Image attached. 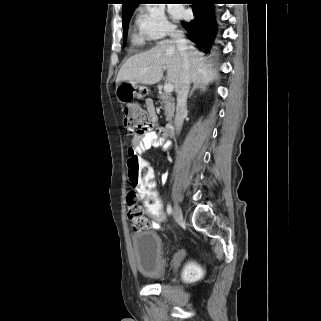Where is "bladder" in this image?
Listing matches in <instances>:
<instances>
[{
    "label": "bladder",
    "instance_id": "obj_1",
    "mask_svg": "<svg viewBox=\"0 0 321 321\" xmlns=\"http://www.w3.org/2000/svg\"><path fill=\"white\" fill-rule=\"evenodd\" d=\"M132 252L138 271L150 278L160 279L165 264L161 237L154 231H139L131 235Z\"/></svg>",
    "mask_w": 321,
    "mask_h": 321
}]
</instances>
